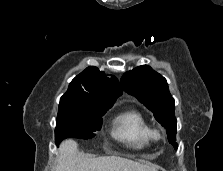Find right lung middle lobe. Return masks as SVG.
I'll list each match as a JSON object with an SVG mask.
<instances>
[{"label":"right lung middle lobe","mask_w":223,"mask_h":171,"mask_svg":"<svg viewBox=\"0 0 223 171\" xmlns=\"http://www.w3.org/2000/svg\"><path fill=\"white\" fill-rule=\"evenodd\" d=\"M111 106L59 105L55 142L74 137L90 139L102 126V116Z\"/></svg>","instance_id":"dd1d6c3e"}]
</instances>
